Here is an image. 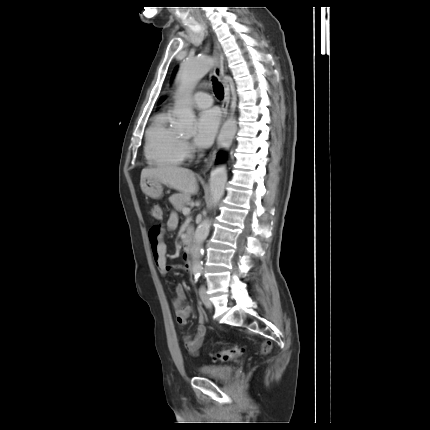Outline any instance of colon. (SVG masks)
<instances>
[{"label": "colon", "instance_id": "5ec220e1", "mask_svg": "<svg viewBox=\"0 0 430 430\" xmlns=\"http://www.w3.org/2000/svg\"><path fill=\"white\" fill-rule=\"evenodd\" d=\"M150 212H151V215L153 216L154 219H156V220L162 219L163 214H162L161 207L159 205L154 204L151 207ZM270 348H271L270 341H264L261 344V352L262 353L269 352ZM242 352H243V350L240 347H236V346L227 347V348H224V349L218 351L217 353L213 354L212 358L215 361L225 362V361H229V360H232L234 358L239 357L242 354Z\"/></svg>", "mask_w": 430, "mask_h": 430}]
</instances>
